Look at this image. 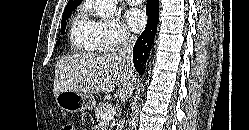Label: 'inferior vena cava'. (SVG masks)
<instances>
[{
  "instance_id": "602c4592",
  "label": "inferior vena cava",
  "mask_w": 249,
  "mask_h": 130,
  "mask_svg": "<svg viewBox=\"0 0 249 130\" xmlns=\"http://www.w3.org/2000/svg\"><path fill=\"white\" fill-rule=\"evenodd\" d=\"M136 38L128 33H125L121 40L120 49L116 54V59L121 63L129 73L134 72L133 67V46ZM124 123V120L122 121Z\"/></svg>"
}]
</instances>
